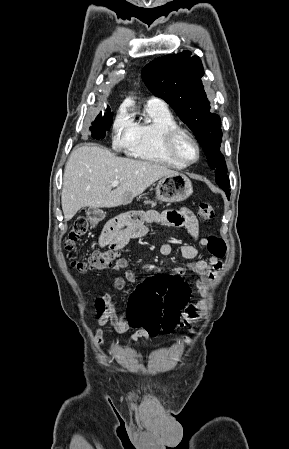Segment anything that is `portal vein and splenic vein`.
I'll return each instance as SVG.
<instances>
[{
	"label": "portal vein and splenic vein",
	"instance_id": "1",
	"mask_svg": "<svg viewBox=\"0 0 289 449\" xmlns=\"http://www.w3.org/2000/svg\"><path fill=\"white\" fill-rule=\"evenodd\" d=\"M118 184H119V181H118V180H114V181L111 183V187H117Z\"/></svg>",
	"mask_w": 289,
	"mask_h": 449
}]
</instances>
